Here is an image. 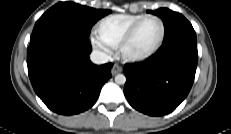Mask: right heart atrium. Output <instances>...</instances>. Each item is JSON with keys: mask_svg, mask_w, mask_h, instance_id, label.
Returning a JSON list of instances; mask_svg holds the SVG:
<instances>
[{"mask_svg": "<svg viewBox=\"0 0 231 134\" xmlns=\"http://www.w3.org/2000/svg\"><path fill=\"white\" fill-rule=\"evenodd\" d=\"M91 44L93 49L104 59L111 56V48L99 39L98 36L91 37Z\"/></svg>", "mask_w": 231, "mask_h": 134, "instance_id": "d8ad5b80", "label": "right heart atrium"}]
</instances>
